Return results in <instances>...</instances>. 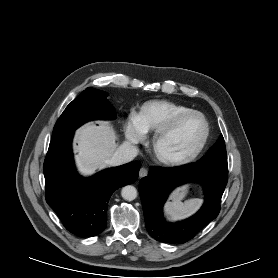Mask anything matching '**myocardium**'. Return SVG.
I'll return each instance as SVG.
<instances>
[{"instance_id":"1","label":"myocardium","mask_w":278,"mask_h":278,"mask_svg":"<svg viewBox=\"0 0 278 278\" xmlns=\"http://www.w3.org/2000/svg\"><path fill=\"white\" fill-rule=\"evenodd\" d=\"M191 116H198L204 123V133L198 145L189 153L182 155H169L162 150V144L176 131L179 125ZM210 136V124L206 116L196 110H190L176 116L166 126L156 131L151 142V151L154 157L162 164L168 166L184 165L195 160L205 148Z\"/></svg>"}]
</instances>
